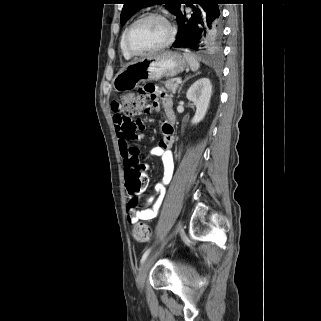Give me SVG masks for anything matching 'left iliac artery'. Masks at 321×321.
Returning <instances> with one entry per match:
<instances>
[{"mask_svg":"<svg viewBox=\"0 0 321 321\" xmlns=\"http://www.w3.org/2000/svg\"><path fill=\"white\" fill-rule=\"evenodd\" d=\"M150 251H151V248H148V249L144 252V254H143L142 258H141V264L144 263V261L146 260V258H147L148 255H149Z\"/></svg>","mask_w":321,"mask_h":321,"instance_id":"obj_1","label":"left iliac artery"}]
</instances>
